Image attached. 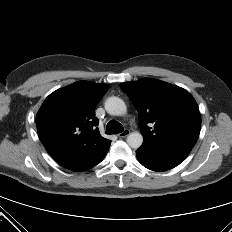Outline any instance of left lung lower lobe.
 Masks as SVG:
<instances>
[{
  "instance_id": "left-lung-lower-lobe-1",
  "label": "left lung lower lobe",
  "mask_w": 232,
  "mask_h": 232,
  "mask_svg": "<svg viewBox=\"0 0 232 232\" xmlns=\"http://www.w3.org/2000/svg\"><path fill=\"white\" fill-rule=\"evenodd\" d=\"M192 148L176 146L168 148H150L141 146L136 151L139 162L153 171H166L179 165Z\"/></svg>"
}]
</instances>
